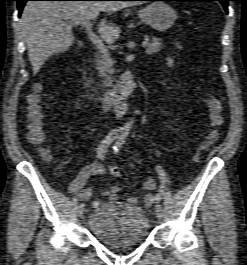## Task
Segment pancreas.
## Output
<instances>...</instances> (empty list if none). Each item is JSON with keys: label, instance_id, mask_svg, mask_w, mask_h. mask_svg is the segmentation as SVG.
<instances>
[{"label": "pancreas", "instance_id": "obj_1", "mask_svg": "<svg viewBox=\"0 0 247 265\" xmlns=\"http://www.w3.org/2000/svg\"><path fill=\"white\" fill-rule=\"evenodd\" d=\"M163 47V43L160 38H153L152 43L146 47V54L153 55L158 53ZM97 70L100 76L104 79L103 83L106 86L112 85V75L114 74L113 61L108 55L103 54L96 60Z\"/></svg>", "mask_w": 247, "mask_h": 265}]
</instances>
